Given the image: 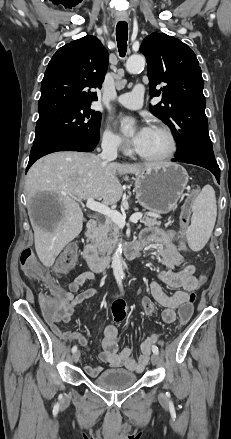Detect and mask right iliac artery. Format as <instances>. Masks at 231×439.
Returning a JSON list of instances; mask_svg holds the SVG:
<instances>
[{
  "mask_svg": "<svg viewBox=\"0 0 231 439\" xmlns=\"http://www.w3.org/2000/svg\"><path fill=\"white\" fill-rule=\"evenodd\" d=\"M117 282H118L119 287H120L121 290H122V282H121V279H118ZM71 351H72V353L76 352V351H77V346H73L72 349H71Z\"/></svg>",
  "mask_w": 231,
  "mask_h": 439,
  "instance_id": "obj_1",
  "label": "right iliac artery"
}]
</instances>
